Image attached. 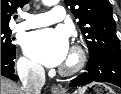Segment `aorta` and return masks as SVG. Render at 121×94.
Segmentation results:
<instances>
[{
	"label": "aorta",
	"instance_id": "762f6f07",
	"mask_svg": "<svg viewBox=\"0 0 121 94\" xmlns=\"http://www.w3.org/2000/svg\"><path fill=\"white\" fill-rule=\"evenodd\" d=\"M42 2L46 6H51L57 4L59 0H42Z\"/></svg>",
	"mask_w": 121,
	"mask_h": 94
}]
</instances>
